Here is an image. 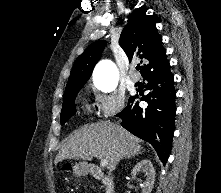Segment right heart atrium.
Listing matches in <instances>:
<instances>
[{
  "mask_svg": "<svg viewBox=\"0 0 221 193\" xmlns=\"http://www.w3.org/2000/svg\"><path fill=\"white\" fill-rule=\"evenodd\" d=\"M95 108L103 118H110L120 113L125 106V96L116 91L101 93L95 91Z\"/></svg>",
  "mask_w": 221,
  "mask_h": 193,
  "instance_id": "d8ad5b80",
  "label": "right heart atrium"
}]
</instances>
